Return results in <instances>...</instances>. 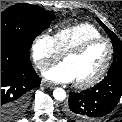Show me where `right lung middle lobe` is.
<instances>
[{
	"mask_svg": "<svg viewBox=\"0 0 122 122\" xmlns=\"http://www.w3.org/2000/svg\"><path fill=\"white\" fill-rule=\"evenodd\" d=\"M54 17V11L36 5L11 6L1 13V40L16 41L30 49L33 40L50 26Z\"/></svg>",
	"mask_w": 122,
	"mask_h": 122,
	"instance_id": "dd1d6c3e",
	"label": "right lung middle lobe"
}]
</instances>
